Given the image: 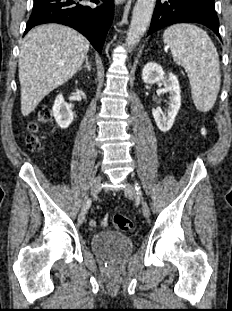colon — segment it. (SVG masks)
Instances as JSON below:
<instances>
[{"label": "colon", "instance_id": "1", "mask_svg": "<svg viewBox=\"0 0 232 311\" xmlns=\"http://www.w3.org/2000/svg\"><path fill=\"white\" fill-rule=\"evenodd\" d=\"M50 117V112L43 110L39 113L38 122H31L29 124V135L26 138V146L30 151L36 152L41 148V139L38 135L39 123L47 122ZM111 223L115 229L120 231H132L134 227L132 220L121 214L113 215L111 217Z\"/></svg>", "mask_w": 232, "mask_h": 311}]
</instances>
